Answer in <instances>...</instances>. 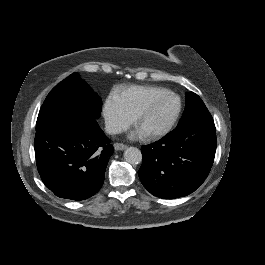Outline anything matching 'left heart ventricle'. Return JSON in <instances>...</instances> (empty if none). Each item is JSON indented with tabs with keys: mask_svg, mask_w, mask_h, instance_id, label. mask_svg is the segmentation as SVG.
I'll list each match as a JSON object with an SVG mask.
<instances>
[{
	"mask_svg": "<svg viewBox=\"0 0 265 265\" xmlns=\"http://www.w3.org/2000/svg\"><path fill=\"white\" fill-rule=\"evenodd\" d=\"M178 109V100L167 93L157 95L148 111L138 120L142 132H149L171 118Z\"/></svg>",
	"mask_w": 265,
	"mask_h": 265,
	"instance_id": "left-heart-ventricle-1",
	"label": "left heart ventricle"
}]
</instances>
